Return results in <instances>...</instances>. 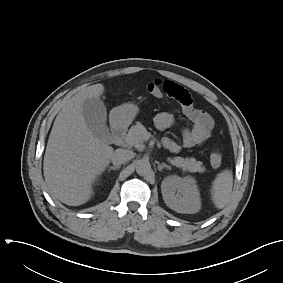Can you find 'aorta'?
<instances>
[{
	"mask_svg": "<svg viewBox=\"0 0 283 283\" xmlns=\"http://www.w3.org/2000/svg\"><path fill=\"white\" fill-rule=\"evenodd\" d=\"M135 168L139 175H146L151 170V165L147 160H139L137 161Z\"/></svg>",
	"mask_w": 283,
	"mask_h": 283,
	"instance_id": "obj_1",
	"label": "aorta"
}]
</instances>
